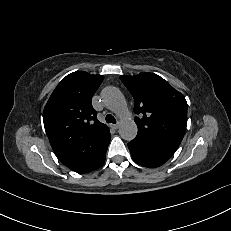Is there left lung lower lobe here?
<instances>
[{
    "instance_id": "left-lung-lower-lobe-1",
    "label": "left lung lower lobe",
    "mask_w": 231,
    "mask_h": 231,
    "mask_svg": "<svg viewBox=\"0 0 231 231\" xmlns=\"http://www.w3.org/2000/svg\"><path fill=\"white\" fill-rule=\"evenodd\" d=\"M133 160L145 167L155 168L170 159L176 150L156 146L147 141L135 138L128 143Z\"/></svg>"
}]
</instances>
